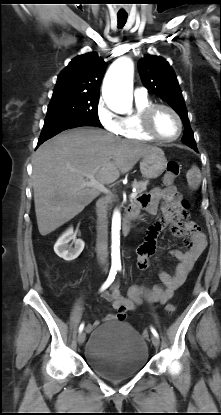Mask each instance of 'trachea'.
<instances>
[{"label":"trachea","mask_w":221,"mask_h":415,"mask_svg":"<svg viewBox=\"0 0 221 415\" xmlns=\"http://www.w3.org/2000/svg\"><path fill=\"white\" fill-rule=\"evenodd\" d=\"M127 21V15H118V27L122 28Z\"/></svg>","instance_id":"obj_1"}]
</instances>
